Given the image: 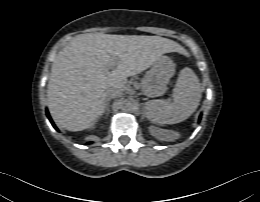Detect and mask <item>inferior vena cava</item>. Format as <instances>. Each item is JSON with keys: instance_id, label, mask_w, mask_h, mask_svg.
I'll return each mask as SVG.
<instances>
[{"instance_id": "obj_1", "label": "inferior vena cava", "mask_w": 260, "mask_h": 202, "mask_svg": "<svg viewBox=\"0 0 260 202\" xmlns=\"http://www.w3.org/2000/svg\"><path fill=\"white\" fill-rule=\"evenodd\" d=\"M122 94H123L122 88H118V87H113L106 91V97L108 99L120 97L122 96Z\"/></svg>"}]
</instances>
